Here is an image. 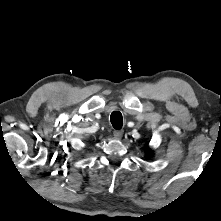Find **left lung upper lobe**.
<instances>
[{"label":"left lung upper lobe","instance_id":"obj_1","mask_svg":"<svg viewBox=\"0 0 221 221\" xmlns=\"http://www.w3.org/2000/svg\"><path fill=\"white\" fill-rule=\"evenodd\" d=\"M147 154L151 155V151L149 149H147Z\"/></svg>","mask_w":221,"mask_h":221}]
</instances>
